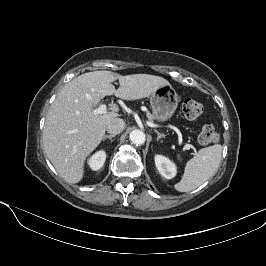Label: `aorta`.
I'll use <instances>...</instances> for the list:
<instances>
[{"mask_svg": "<svg viewBox=\"0 0 266 266\" xmlns=\"http://www.w3.org/2000/svg\"><path fill=\"white\" fill-rule=\"evenodd\" d=\"M130 141L135 145H142L145 143V134L141 130H133L129 135Z\"/></svg>", "mask_w": 266, "mask_h": 266, "instance_id": "762f6f07", "label": "aorta"}]
</instances>
